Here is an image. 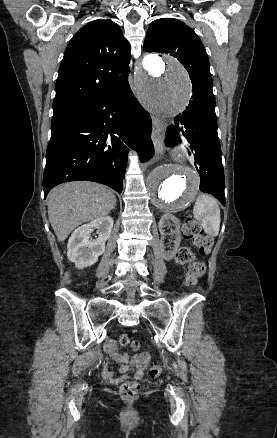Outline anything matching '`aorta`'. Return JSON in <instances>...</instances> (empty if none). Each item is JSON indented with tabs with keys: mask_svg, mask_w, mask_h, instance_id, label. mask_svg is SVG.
Listing matches in <instances>:
<instances>
[{
	"mask_svg": "<svg viewBox=\"0 0 277 438\" xmlns=\"http://www.w3.org/2000/svg\"><path fill=\"white\" fill-rule=\"evenodd\" d=\"M136 93L153 115L173 119L187 106L190 83L184 67L170 56L146 55L135 71ZM199 177L183 151H173L169 162L158 166L147 178L152 205L174 213L185 209L195 197Z\"/></svg>",
	"mask_w": 277,
	"mask_h": 438,
	"instance_id": "obj_1",
	"label": "aorta"
}]
</instances>
